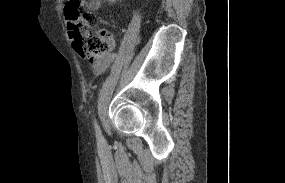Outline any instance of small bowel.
<instances>
[{"label":"small bowel","mask_w":285,"mask_h":183,"mask_svg":"<svg viewBox=\"0 0 285 183\" xmlns=\"http://www.w3.org/2000/svg\"><path fill=\"white\" fill-rule=\"evenodd\" d=\"M102 0H85L84 7L89 11H99ZM114 56L110 55L102 60L92 62L91 69L94 75L101 76L106 72L110 64L113 62Z\"/></svg>","instance_id":"obj_1"}]
</instances>
